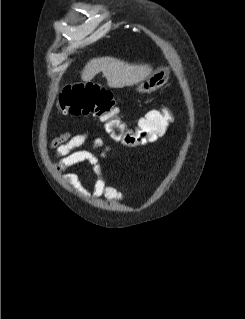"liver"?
Here are the masks:
<instances>
[{
  "instance_id": "obj_1",
  "label": "liver",
  "mask_w": 245,
  "mask_h": 319,
  "mask_svg": "<svg viewBox=\"0 0 245 319\" xmlns=\"http://www.w3.org/2000/svg\"><path fill=\"white\" fill-rule=\"evenodd\" d=\"M102 72L107 84L112 88H123L138 84L151 74L152 68L144 64H130L114 57L91 59L81 72L84 82L91 81L96 74Z\"/></svg>"
}]
</instances>
